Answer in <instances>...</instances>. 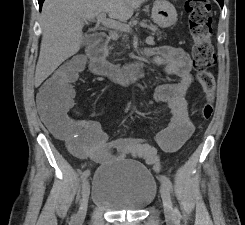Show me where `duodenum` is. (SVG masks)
Listing matches in <instances>:
<instances>
[{
  "label": "duodenum",
  "mask_w": 245,
  "mask_h": 225,
  "mask_svg": "<svg viewBox=\"0 0 245 225\" xmlns=\"http://www.w3.org/2000/svg\"><path fill=\"white\" fill-rule=\"evenodd\" d=\"M109 37L106 33H100L95 41L87 47L90 71L97 75L107 76L119 81L129 83L136 79L138 72L143 71L149 54L145 52L135 62L125 67L105 61L106 47Z\"/></svg>",
  "instance_id": "duodenum-1"
}]
</instances>
